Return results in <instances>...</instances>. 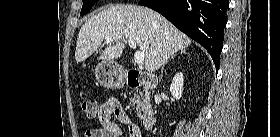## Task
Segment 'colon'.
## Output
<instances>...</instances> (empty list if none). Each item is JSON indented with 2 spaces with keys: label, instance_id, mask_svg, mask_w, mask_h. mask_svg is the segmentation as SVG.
<instances>
[{
  "label": "colon",
  "instance_id": "5ec220e1",
  "mask_svg": "<svg viewBox=\"0 0 280 137\" xmlns=\"http://www.w3.org/2000/svg\"><path fill=\"white\" fill-rule=\"evenodd\" d=\"M82 111L89 117L94 118L99 112L98 104L93 100H83L81 102ZM140 134H134L133 137H140Z\"/></svg>",
  "mask_w": 280,
  "mask_h": 137
}]
</instances>
